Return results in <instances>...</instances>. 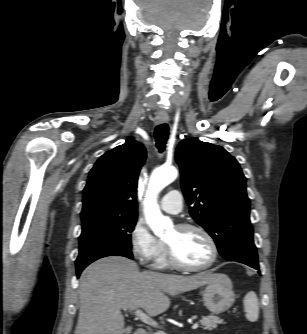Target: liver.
Listing matches in <instances>:
<instances>
[{
	"label": "liver",
	"instance_id": "liver-1",
	"mask_svg": "<svg viewBox=\"0 0 307 334\" xmlns=\"http://www.w3.org/2000/svg\"><path fill=\"white\" fill-rule=\"evenodd\" d=\"M214 279L211 272L193 276L141 272L137 263L128 258H102L81 274L75 334H123L122 309L142 308L154 317L169 308L168 295L197 289Z\"/></svg>",
	"mask_w": 307,
	"mask_h": 334
}]
</instances>
